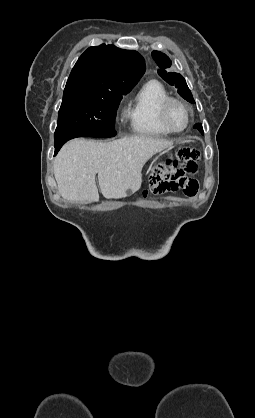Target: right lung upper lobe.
<instances>
[{"instance_id":"cb5924a9","label":"right lung upper lobe","mask_w":255,"mask_h":418,"mask_svg":"<svg viewBox=\"0 0 255 418\" xmlns=\"http://www.w3.org/2000/svg\"><path fill=\"white\" fill-rule=\"evenodd\" d=\"M144 71L145 61L138 52L102 44L80 56L66 87L131 90Z\"/></svg>"}]
</instances>
